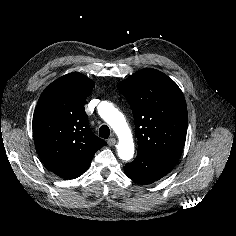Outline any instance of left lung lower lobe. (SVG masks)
Listing matches in <instances>:
<instances>
[{"mask_svg": "<svg viewBox=\"0 0 236 236\" xmlns=\"http://www.w3.org/2000/svg\"><path fill=\"white\" fill-rule=\"evenodd\" d=\"M175 164L176 162L162 157L137 152L136 159L125 165V173L133 181L146 185L164 177Z\"/></svg>", "mask_w": 236, "mask_h": 236, "instance_id": "left-lung-lower-lobe-1", "label": "left lung lower lobe"}]
</instances>
